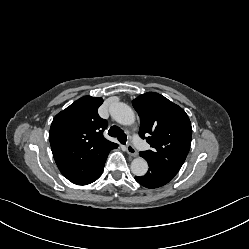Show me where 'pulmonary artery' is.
<instances>
[{
    "mask_svg": "<svg viewBox=\"0 0 249 249\" xmlns=\"http://www.w3.org/2000/svg\"><path fill=\"white\" fill-rule=\"evenodd\" d=\"M133 139H134L135 143H136L140 148H142V149L145 148L146 144H145L144 141L140 140L137 136H134Z\"/></svg>",
    "mask_w": 249,
    "mask_h": 249,
    "instance_id": "pulmonary-artery-1",
    "label": "pulmonary artery"
}]
</instances>
